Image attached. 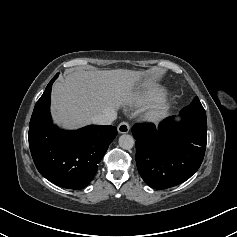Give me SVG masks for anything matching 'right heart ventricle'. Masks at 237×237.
<instances>
[{"instance_id":"obj_1","label":"right heart ventricle","mask_w":237,"mask_h":237,"mask_svg":"<svg viewBox=\"0 0 237 237\" xmlns=\"http://www.w3.org/2000/svg\"><path fill=\"white\" fill-rule=\"evenodd\" d=\"M164 93V89L160 87L148 88L146 90L136 92L133 95L132 101L133 103L139 105L145 104L160 99Z\"/></svg>"}]
</instances>
